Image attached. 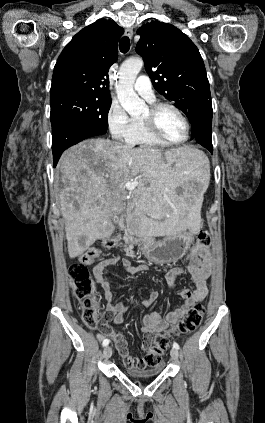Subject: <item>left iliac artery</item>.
Returning <instances> with one entry per match:
<instances>
[{"instance_id":"obj_1","label":"left iliac artery","mask_w":265,"mask_h":423,"mask_svg":"<svg viewBox=\"0 0 265 423\" xmlns=\"http://www.w3.org/2000/svg\"><path fill=\"white\" fill-rule=\"evenodd\" d=\"M173 347L176 348V349H179L180 348L179 344L176 343V342L173 343Z\"/></svg>"}]
</instances>
